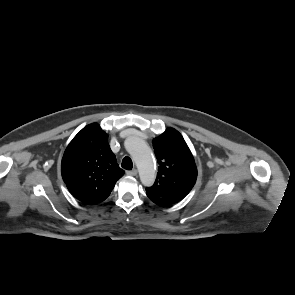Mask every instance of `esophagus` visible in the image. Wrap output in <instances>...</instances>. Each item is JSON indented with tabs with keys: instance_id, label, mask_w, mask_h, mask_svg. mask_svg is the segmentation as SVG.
Returning <instances> with one entry per match:
<instances>
[{
	"instance_id": "34e87169",
	"label": "esophagus",
	"mask_w": 295,
	"mask_h": 295,
	"mask_svg": "<svg viewBox=\"0 0 295 295\" xmlns=\"http://www.w3.org/2000/svg\"><path fill=\"white\" fill-rule=\"evenodd\" d=\"M126 174L129 176H135L137 175V170L133 169V170L127 171Z\"/></svg>"
}]
</instances>
